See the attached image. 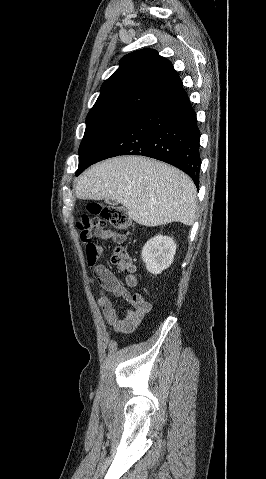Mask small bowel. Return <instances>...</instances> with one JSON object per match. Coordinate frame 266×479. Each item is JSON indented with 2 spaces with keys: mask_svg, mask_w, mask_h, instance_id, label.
Instances as JSON below:
<instances>
[{
  "mask_svg": "<svg viewBox=\"0 0 266 479\" xmlns=\"http://www.w3.org/2000/svg\"><path fill=\"white\" fill-rule=\"evenodd\" d=\"M94 237L99 241L112 240L115 243L124 240L123 235L110 230L97 232ZM94 272L96 280L103 290L98 298V305L106 322L115 332H131L150 311V303L144 296L139 292L132 293L130 291L131 288L137 286V277L134 271L126 277V286H123L117 277L102 264L97 265ZM114 297L123 298L132 305L125 310L122 316L113 301Z\"/></svg>",
  "mask_w": 266,
  "mask_h": 479,
  "instance_id": "obj_1",
  "label": "small bowel"
}]
</instances>
